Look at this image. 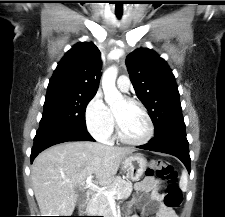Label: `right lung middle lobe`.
<instances>
[{
    "label": "right lung middle lobe",
    "instance_id": "1",
    "mask_svg": "<svg viewBox=\"0 0 225 217\" xmlns=\"http://www.w3.org/2000/svg\"><path fill=\"white\" fill-rule=\"evenodd\" d=\"M95 95L47 93L40 123H53L86 130L85 110Z\"/></svg>",
    "mask_w": 225,
    "mask_h": 217
}]
</instances>
